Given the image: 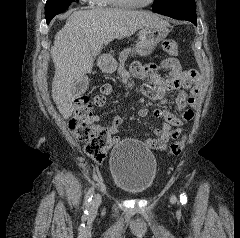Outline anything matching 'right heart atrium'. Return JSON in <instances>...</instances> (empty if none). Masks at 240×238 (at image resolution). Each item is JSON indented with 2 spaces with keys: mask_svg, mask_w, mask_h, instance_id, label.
Listing matches in <instances>:
<instances>
[{
  "mask_svg": "<svg viewBox=\"0 0 240 238\" xmlns=\"http://www.w3.org/2000/svg\"><path fill=\"white\" fill-rule=\"evenodd\" d=\"M81 1L87 4L96 5L99 4L102 0H81Z\"/></svg>",
  "mask_w": 240,
  "mask_h": 238,
  "instance_id": "1",
  "label": "right heart atrium"
}]
</instances>
